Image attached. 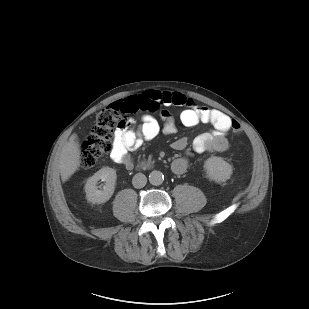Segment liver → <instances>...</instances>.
Instances as JSON below:
<instances>
[{"label": "liver", "instance_id": "6515ba94", "mask_svg": "<svg viewBox=\"0 0 309 309\" xmlns=\"http://www.w3.org/2000/svg\"><path fill=\"white\" fill-rule=\"evenodd\" d=\"M80 154L79 142L74 133L70 136L60 155L59 169L63 182L67 181L78 170L81 163Z\"/></svg>", "mask_w": 309, "mask_h": 309}]
</instances>
